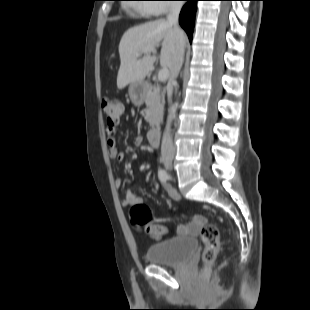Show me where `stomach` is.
I'll list each match as a JSON object with an SVG mask.
<instances>
[{"label": "stomach", "instance_id": "stomach-1", "mask_svg": "<svg viewBox=\"0 0 310 310\" xmlns=\"http://www.w3.org/2000/svg\"><path fill=\"white\" fill-rule=\"evenodd\" d=\"M146 86L143 81L131 82L129 85L128 93L131 101L140 106L145 97Z\"/></svg>", "mask_w": 310, "mask_h": 310}]
</instances>
